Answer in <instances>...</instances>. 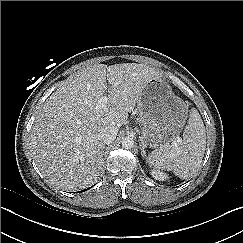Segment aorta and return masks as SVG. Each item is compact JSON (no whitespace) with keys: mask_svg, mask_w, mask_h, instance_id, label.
<instances>
[{"mask_svg":"<svg viewBox=\"0 0 243 243\" xmlns=\"http://www.w3.org/2000/svg\"><path fill=\"white\" fill-rule=\"evenodd\" d=\"M134 146V140L133 138L126 136L122 140V147L125 149H131Z\"/></svg>","mask_w":243,"mask_h":243,"instance_id":"1","label":"aorta"}]
</instances>
